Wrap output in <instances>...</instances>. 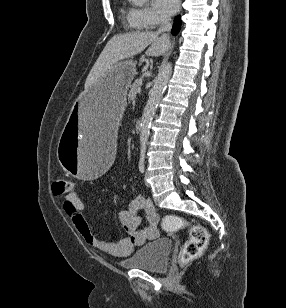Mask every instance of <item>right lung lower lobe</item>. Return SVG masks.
Segmentation results:
<instances>
[{"instance_id": "98d812e1", "label": "right lung lower lobe", "mask_w": 286, "mask_h": 308, "mask_svg": "<svg viewBox=\"0 0 286 308\" xmlns=\"http://www.w3.org/2000/svg\"><path fill=\"white\" fill-rule=\"evenodd\" d=\"M180 27H181L180 16H177V17L174 19V24H173V28H172V33L176 35V34L179 32Z\"/></svg>"}]
</instances>
